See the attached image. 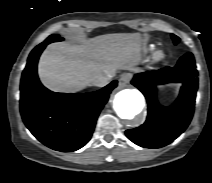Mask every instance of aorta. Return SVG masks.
<instances>
[{
	"mask_svg": "<svg viewBox=\"0 0 212 183\" xmlns=\"http://www.w3.org/2000/svg\"><path fill=\"white\" fill-rule=\"evenodd\" d=\"M145 99L137 89H124L115 96L113 106L117 115L126 120L134 119L144 108Z\"/></svg>",
	"mask_w": 212,
	"mask_h": 183,
	"instance_id": "aorta-1",
	"label": "aorta"
}]
</instances>
